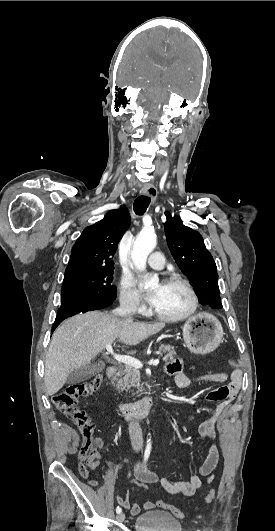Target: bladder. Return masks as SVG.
<instances>
[{
    "mask_svg": "<svg viewBox=\"0 0 275 531\" xmlns=\"http://www.w3.org/2000/svg\"><path fill=\"white\" fill-rule=\"evenodd\" d=\"M134 531H181V521L166 510H151L136 517Z\"/></svg>",
    "mask_w": 275,
    "mask_h": 531,
    "instance_id": "obj_1",
    "label": "bladder"
}]
</instances>
